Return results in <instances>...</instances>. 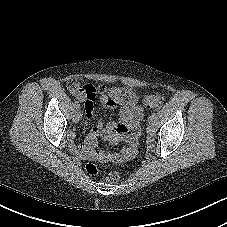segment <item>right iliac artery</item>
I'll list each match as a JSON object with an SVG mask.
<instances>
[{
  "instance_id": "right-iliac-artery-1",
  "label": "right iliac artery",
  "mask_w": 227,
  "mask_h": 227,
  "mask_svg": "<svg viewBox=\"0 0 227 227\" xmlns=\"http://www.w3.org/2000/svg\"><path fill=\"white\" fill-rule=\"evenodd\" d=\"M74 106H75V108L79 109V108H80L79 102H78V101H75V102H74Z\"/></svg>"
}]
</instances>
